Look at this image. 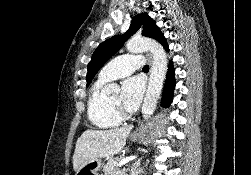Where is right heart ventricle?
Masks as SVG:
<instances>
[{"label":"right heart ventricle","instance_id":"obj_1","mask_svg":"<svg viewBox=\"0 0 251 175\" xmlns=\"http://www.w3.org/2000/svg\"><path fill=\"white\" fill-rule=\"evenodd\" d=\"M106 82L97 80L90 88L87 100V117L90 123L100 129L113 128L119 123V118L109 107V100L104 96Z\"/></svg>","mask_w":251,"mask_h":175}]
</instances>
